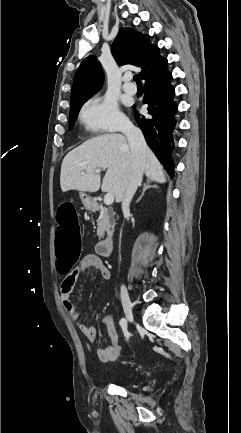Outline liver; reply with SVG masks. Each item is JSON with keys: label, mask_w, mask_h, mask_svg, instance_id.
Returning a JSON list of instances; mask_svg holds the SVG:
<instances>
[{"label": "liver", "mask_w": 241, "mask_h": 433, "mask_svg": "<svg viewBox=\"0 0 241 433\" xmlns=\"http://www.w3.org/2000/svg\"><path fill=\"white\" fill-rule=\"evenodd\" d=\"M131 150L128 140L121 134H106L84 142L63 159L60 173L62 192H102L113 194L116 202L122 201L131 171ZM96 169H107L101 184ZM81 172H85L81 175ZM145 175L158 183L166 182L162 165L146 147Z\"/></svg>", "instance_id": "6515ba94"}]
</instances>
